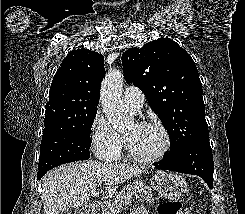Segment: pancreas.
<instances>
[{
    "label": "pancreas",
    "mask_w": 245,
    "mask_h": 214,
    "mask_svg": "<svg viewBox=\"0 0 245 214\" xmlns=\"http://www.w3.org/2000/svg\"><path fill=\"white\" fill-rule=\"evenodd\" d=\"M132 199L154 203V196L149 187L144 184L127 185L113 200L105 203L103 214H117L122 205L130 203Z\"/></svg>",
    "instance_id": "1"
}]
</instances>
